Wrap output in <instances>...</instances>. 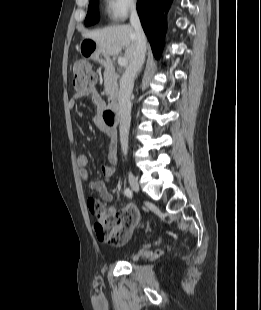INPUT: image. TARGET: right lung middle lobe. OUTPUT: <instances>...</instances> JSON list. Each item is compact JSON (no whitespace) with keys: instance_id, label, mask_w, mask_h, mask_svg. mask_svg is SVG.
Wrapping results in <instances>:
<instances>
[{"instance_id":"right-lung-middle-lobe-1","label":"right lung middle lobe","mask_w":261,"mask_h":310,"mask_svg":"<svg viewBox=\"0 0 261 310\" xmlns=\"http://www.w3.org/2000/svg\"><path fill=\"white\" fill-rule=\"evenodd\" d=\"M99 20V0H90L85 25L95 24Z\"/></svg>"}]
</instances>
